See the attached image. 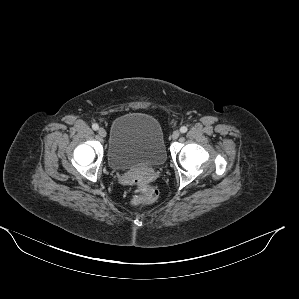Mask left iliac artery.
Segmentation results:
<instances>
[{
  "label": "left iliac artery",
  "instance_id": "obj_1",
  "mask_svg": "<svg viewBox=\"0 0 299 299\" xmlns=\"http://www.w3.org/2000/svg\"><path fill=\"white\" fill-rule=\"evenodd\" d=\"M187 127L186 126H182L181 128H180V131H181V133H185V132H187Z\"/></svg>",
  "mask_w": 299,
  "mask_h": 299
}]
</instances>
